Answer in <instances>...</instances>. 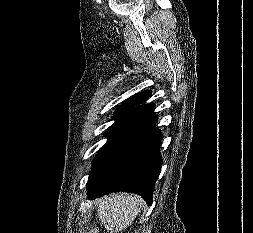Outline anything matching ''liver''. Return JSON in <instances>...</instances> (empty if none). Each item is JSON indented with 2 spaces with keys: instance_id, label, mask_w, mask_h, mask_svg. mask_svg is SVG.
<instances>
[{
  "instance_id": "liver-1",
  "label": "liver",
  "mask_w": 253,
  "mask_h": 233,
  "mask_svg": "<svg viewBox=\"0 0 253 233\" xmlns=\"http://www.w3.org/2000/svg\"><path fill=\"white\" fill-rule=\"evenodd\" d=\"M142 208V199L132 194L108 195L98 200L97 216L107 233H122Z\"/></svg>"
}]
</instances>
